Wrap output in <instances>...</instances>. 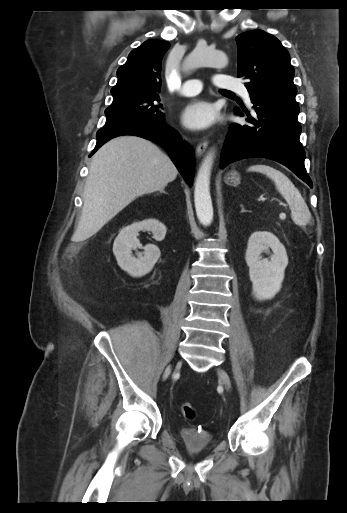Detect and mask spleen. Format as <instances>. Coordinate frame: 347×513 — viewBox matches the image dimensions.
<instances>
[{"instance_id": "3e777b00", "label": "spleen", "mask_w": 347, "mask_h": 513, "mask_svg": "<svg viewBox=\"0 0 347 513\" xmlns=\"http://www.w3.org/2000/svg\"><path fill=\"white\" fill-rule=\"evenodd\" d=\"M248 171L260 172L272 179L276 189L287 201L293 221L299 226H306L311 219L309 208L299 190L283 172L267 164L252 165Z\"/></svg>"}]
</instances>
